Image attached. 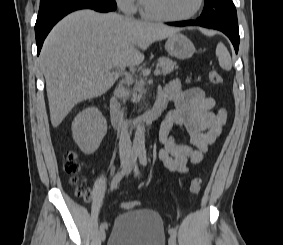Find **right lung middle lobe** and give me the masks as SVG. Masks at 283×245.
Segmentation results:
<instances>
[{"label":"right lung middle lobe","mask_w":283,"mask_h":245,"mask_svg":"<svg viewBox=\"0 0 283 245\" xmlns=\"http://www.w3.org/2000/svg\"><path fill=\"white\" fill-rule=\"evenodd\" d=\"M55 1H58V0H40V6H43V5H46L48 3L55 2Z\"/></svg>","instance_id":"right-lung-middle-lobe-1"}]
</instances>
